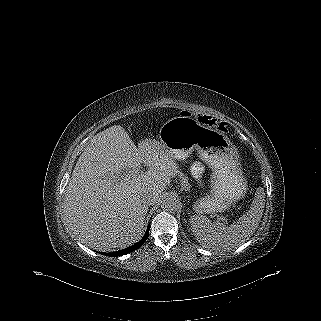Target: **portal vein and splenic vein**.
Here are the masks:
<instances>
[{"label": "portal vein and splenic vein", "mask_w": 321, "mask_h": 321, "mask_svg": "<svg viewBox=\"0 0 321 321\" xmlns=\"http://www.w3.org/2000/svg\"><path fill=\"white\" fill-rule=\"evenodd\" d=\"M140 171L141 170H139V169L134 170L135 173H139Z\"/></svg>", "instance_id": "obj_1"}]
</instances>
